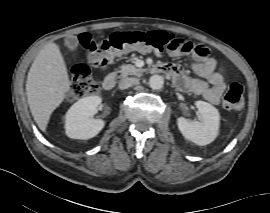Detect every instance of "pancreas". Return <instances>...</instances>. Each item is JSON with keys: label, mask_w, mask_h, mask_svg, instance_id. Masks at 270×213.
Here are the masks:
<instances>
[{"label": "pancreas", "mask_w": 270, "mask_h": 213, "mask_svg": "<svg viewBox=\"0 0 270 213\" xmlns=\"http://www.w3.org/2000/svg\"><path fill=\"white\" fill-rule=\"evenodd\" d=\"M119 72L122 76L136 75L140 76L144 72L143 69L136 68L134 65L125 64L120 66Z\"/></svg>", "instance_id": "pancreas-1"}]
</instances>
